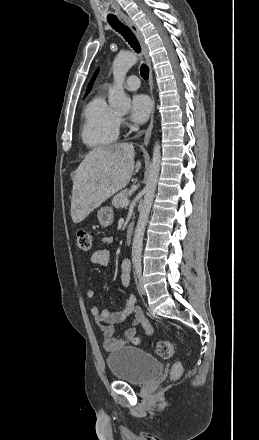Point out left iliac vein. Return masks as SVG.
<instances>
[{
  "instance_id": "1",
  "label": "left iliac vein",
  "mask_w": 259,
  "mask_h": 440,
  "mask_svg": "<svg viewBox=\"0 0 259 440\" xmlns=\"http://www.w3.org/2000/svg\"><path fill=\"white\" fill-rule=\"evenodd\" d=\"M139 290H140L141 294L146 295V290H145V288L143 286V281H142L141 277L139 279Z\"/></svg>"
}]
</instances>
